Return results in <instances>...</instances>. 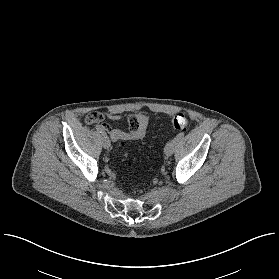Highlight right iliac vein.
Wrapping results in <instances>:
<instances>
[{
	"mask_svg": "<svg viewBox=\"0 0 279 279\" xmlns=\"http://www.w3.org/2000/svg\"><path fill=\"white\" fill-rule=\"evenodd\" d=\"M110 146H111V143H110L109 138H108L106 135L103 136V147H104L105 149H109Z\"/></svg>",
	"mask_w": 279,
	"mask_h": 279,
	"instance_id": "obj_1",
	"label": "right iliac vein"
}]
</instances>
